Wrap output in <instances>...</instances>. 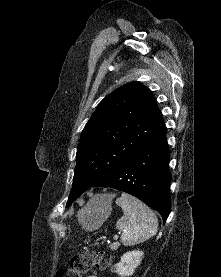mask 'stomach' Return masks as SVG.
<instances>
[{"instance_id": "1", "label": "stomach", "mask_w": 221, "mask_h": 277, "mask_svg": "<svg viewBox=\"0 0 221 277\" xmlns=\"http://www.w3.org/2000/svg\"><path fill=\"white\" fill-rule=\"evenodd\" d=\"M111 210V201L106 199L94 198L78 216L83 229L87 231L98 230L109 216Z\"/></svg>"}]
</instances>
